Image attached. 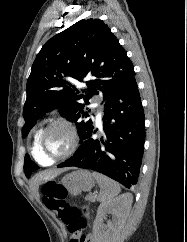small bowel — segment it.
<instances>
[{"instance_id":"1","label":"small bowel","mask_w":187,"mask_h":242,"mask_svg":"<svg viewBox=\"0 0 187 242\" xmlns=\"http://www.w3.org/2000/svg\"><path fill=\"white\" fill-rule=\"evenodd\" d=\"M87 238H88V242H94V239L92 236H88Z\"/></svg>"}]
</instances>
